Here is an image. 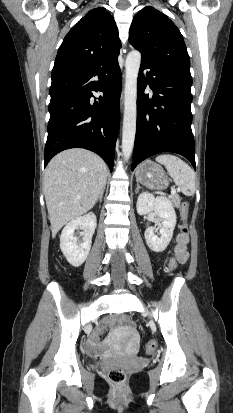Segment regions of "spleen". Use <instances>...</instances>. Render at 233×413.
I'll return each mask as SVG.
<instances>
[{
    "label": "spleen",
    "mask_w": 233,
    "mask_h": 413,
    "mask_svg": "<svg viewBox=\"0 0 233 413\" xmlns=\"http://www.w3.org/2000/svg\"><path fill=\"white\" fill-rule=\"evenodd\" d=\"M156 161L166 167L168 174L184 195L192 196L194 194L195 173L188 164L170 154L159 155L156 157Z\"/></svg>",
    "instance_id": "spleen-1"
}]
</instances>
